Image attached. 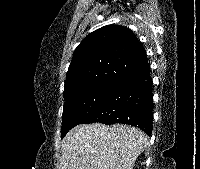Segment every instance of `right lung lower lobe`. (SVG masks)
Here are the masks:
<instances>
[{
	"instance_id": "obj_1",
	"label": "right lung lower lobe",
	"mask_w": 200,
	"mask_h": 169,
	"mask_svg": "<svg viewBox=\"0 0 200 169\" xmlns=\"http://www.w3.org/2000/svg\"><path fill=\"white\" fill-rule=\"evenodd\" d=\"M150 69L117 81L106 100L82 123H123L152 133L153 101Z\"/></svg>"
}]
</instances>
